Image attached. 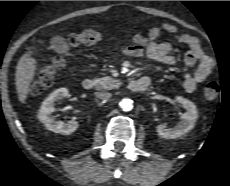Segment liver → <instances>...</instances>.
I'll return each mask as SVG.
<instances>
[{
  "label": "liver",
  "instance_id": "obj_1",
  "mask_svg": "<svg viewBox=\"0 0 230 186\" xmlns=\"http://www.w3.org/2000/svg\"><path fill=\"white\" fill-rule=\"evenodd\" d=\"M33 49V47L28 48V51L19 59L16 66V90L21 103H25L30 91V84L36 74L37 62L30 56Z\"/></svg>",
  "mask_w": 230,
  "mask_h": 186
}]
</instances>
